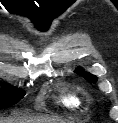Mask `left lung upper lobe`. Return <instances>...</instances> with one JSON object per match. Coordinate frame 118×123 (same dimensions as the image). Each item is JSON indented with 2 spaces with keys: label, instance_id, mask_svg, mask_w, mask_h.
<instances>
[{
  "label": "left lung upper lobe",
  "instance_id": "5c2ea615",
  "mask_svg": "<svg viewBox=\"0 0 118 123\" xmlns=\"http://www.w3.org/2000/svg\"><path fill=\"white\" fill-rule=\"evenodd\" d=\"M76 73L79 75H82L85 79H87L88 81L91 82H95L96 81V77L88 72L83 71L82 69H77Z\"/></svg>",
  "mask_w": 118,
  "mask_h": 123
}]
</instances>
